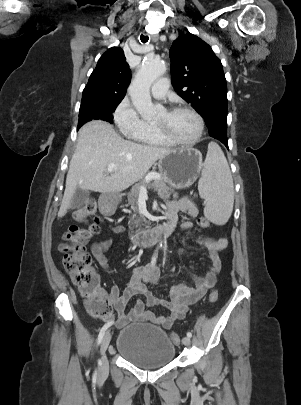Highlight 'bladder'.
I'll list each match as a JSON object with an SVG mask.
<instances>
[{
	"label": "bladder",
	"instance_id": "obj_1",
	"mask_svg": "<svg viewBox=\"0 0 301 405\" xmlns=\"http://www.w3.org/2000/svg\"><path fill=\"white\" fill-rule=\"evenodd\" d=\"M116 351L138 367L156 369L174 359L176 348L166 332L159 327L138 323L119 332Z\"/></svg>",
	"mask_w": 301,
	"mask_h": 405
}]
</instances>
